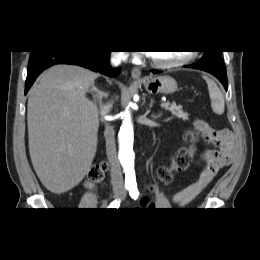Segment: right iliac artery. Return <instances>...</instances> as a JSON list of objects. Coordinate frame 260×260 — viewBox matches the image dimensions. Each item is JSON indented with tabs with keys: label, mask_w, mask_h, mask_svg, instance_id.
<instances>
[{
	"label": "right iliac artery",
	"mask_w": 260,
	"mask_h": 260,
	"mask_svg": "<svg viewBox=\"0 0 260 260\" xmlns=\"http://www.w3.org/2000/svg\"><path fill=\"white\" fill-rule=\"evenodd\" d=\"M128 189V188H127ZM120 202L121 200L120 199H116L114 200L110 205H109V208L110 209H116L120 206Z\"/></svg>",
	"instance_id": "1"
}]
</instances>
